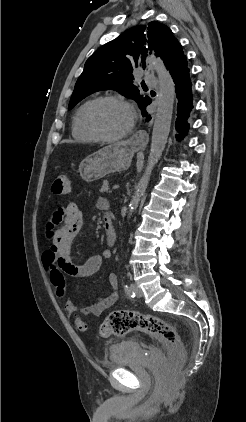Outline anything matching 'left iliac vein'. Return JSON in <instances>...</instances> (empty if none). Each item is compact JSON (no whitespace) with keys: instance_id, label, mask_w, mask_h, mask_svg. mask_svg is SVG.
<instances>
[{"instance_id":"obj_1","label":"left iliac vein","mask_w":246,"mask_h":422,"mask_svg":"<svg viewBox=\"0 0 246 422\" xmlns=\"http://www.w3.org/2000/svg\"><path fill=\"white\" fill-rule=\"evenodd\" d=\"M131 288L133 289V291H134V293L136 294L137 297L143 296V292L137 284H132Z\"/></svg>"}]
</instances>
